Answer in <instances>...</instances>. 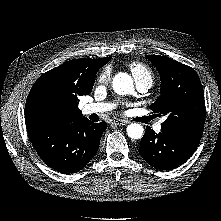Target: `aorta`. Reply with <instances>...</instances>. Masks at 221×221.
Returning <instances> with one entry per match:
<instances>
[{"instance_id": "obj_1", "label": "aorta", "mask_w": 221, "mask_h": 221, "mask_svg": "<svg viewBox=\"0 0 221 221\" xmlns=\"http://www.w3.org/2000/svg\"><path fill=\"white\" fill-rule=\"evenodd\" d=\"M113 89L119 95L129 94L133 90L132 78L126 73H118L113 79ZM144 129L140 124L132 123L127 126V134L132 139H140Z\"/></svg>"}]
</instances>
